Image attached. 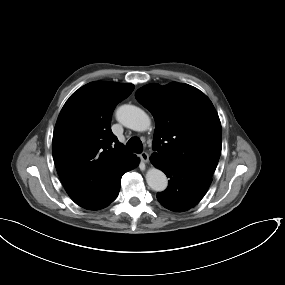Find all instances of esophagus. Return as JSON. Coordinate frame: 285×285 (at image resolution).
Here are the masks:
<instances>
[{"mask_svg": "<svg viewBox=\"0 0 285 285\" xmlns=\"http://www.w3.org/2000/svg\"><path fill=\"white\" fill-rule=\"evenodd\" d=\"M140 159L142 160V162L144 163H148L149 161V155L146 152H142L139 154Z\"/></svg>", "mask_w": 285, "mask_h": 285, "instance_id": "esophagus-1", "label": "esophagus"}]
</instances>
